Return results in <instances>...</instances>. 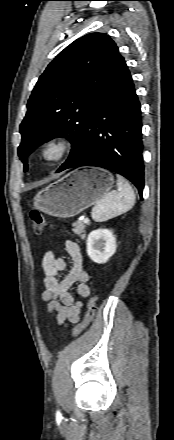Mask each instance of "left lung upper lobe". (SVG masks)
<instances>
[{"instance_id":"obj_1","label":"left lung upper lobe","mask_w":174,"mask_h":440,"mask_svg":"<svg viewBox=\"0 0 174 440\" xmlns=\"http://www.w3.org/2000/svg\"><path fill=\"white\" fill-rule=\"evenodd\" d=\"M121 57L108 35L91 33L75 40L48 65L33 89L20 125L18 154L25 171L26 157L55 137L72 143L70 156L58 172L79 154L89 110Z\"/></svg>"}]
</instances>
